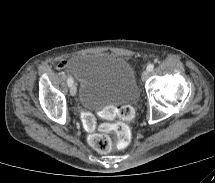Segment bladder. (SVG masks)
Instances as JSON below:
<instances>
[{"label":"bladder","instance_id":"obj_1","mask_svg":"<svg viewBox=\"0 0 215 183\" xmlns=\"http://www.w3.org/2000/svg\"><path fill=\"white\" fill-rule=\"evenodd\" d=\"M72 74L81 81L79 104L84 109L133 102L139 97L136 75L123 57L92 52L76 55L70 62Z\"/></svg>","mask_w":215,"mask_h":183}]
</instances>
